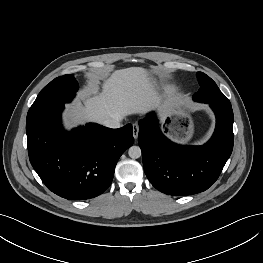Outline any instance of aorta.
<instances>
[{"mask_svg":"<svg viewBox=\"0 0 263 263\" xmlns=\"http://www.w3.org/2000/svg\"><path fill=\"white\" fill-rule=\"evenodd\" d=\"M128 154L132 159H137L141 156V149L139 146H131Z\"/></svg>","mask_w":263,"mask_h":263,"instance_id":"762f6f07","label":"aorta"}]
</instances>
